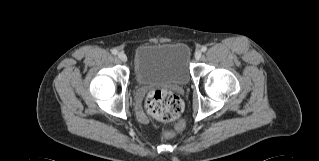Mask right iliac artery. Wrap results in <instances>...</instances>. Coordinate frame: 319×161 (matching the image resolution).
Segmentation results:
<instances>
[{
  "mask_svg": "<svg viewBox=\"0 0 319 161\" xmlns=\"http://www.w3.org/2000/svg\"><path fill=\"white\" fill-rule=\"evenodd\" d=\"M117 53H118V51H117L116 49H113V50H112V54H113V55H116Z\"/></svg>",
  "mask_w": 319,
  "mask_h": 161,
  "instance_id": "right-iliac-artery-1",
  "label": "right iliac artery"
}]
</instances>
